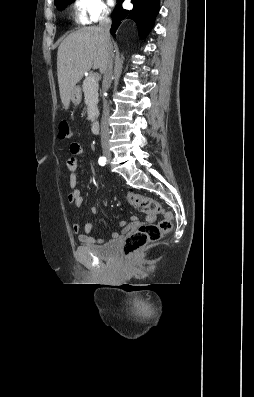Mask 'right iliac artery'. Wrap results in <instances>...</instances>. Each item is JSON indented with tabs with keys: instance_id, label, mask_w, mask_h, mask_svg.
<instances>
[{
	"instance_id": "obj_1",
	"label": "right iliac artery",
	"mask_w": 254,
	"mask_h": 397,
	"mask_svg": "<svg viewBox=\"0 0 254 397\" xmlns=\"http://www.w3.org/2000/svg\"><path fill=\"white\" fill-rule=\"evenodd\" d=\"M99 164H100L101 166H104V165L106 164V158H105V157H100V158H99Z\"/></svg>"
}]
</instances>
